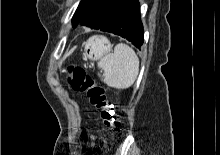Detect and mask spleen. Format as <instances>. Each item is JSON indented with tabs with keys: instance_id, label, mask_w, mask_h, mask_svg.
Masks as SVG:
<instances>
[{
	"instance_id": "3e777b00",
	"label": "spleen",
	"mask_w": 220,
	"mask_h": 155,
	"mask_svg": "<svg viewBox=\"0 0 220 155\" xmlns=\"http://www.w3.org/2000/svg\"><path fill=\"white\" fill-rule=\"evenodd\" d=\"M98 68L104 70L101 80L109 87L127 89L137 79L139 58L134 50L124 43L115 46L113 53L106 54L98 62Z\"/></svg>"
}]
</instances>
